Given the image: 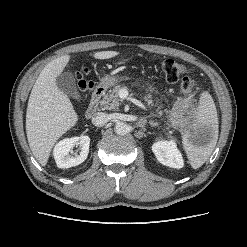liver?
I'll use <instances>...</instances> for the list:
<instances>
[{"label":"liver","instance_id":"6515ba94","mask_svg":"<svg viewBox=\"0 0 247 247\" xmlns=\"http://www.w3.org/2000/svg\"><path fill=\"white\" fill-rule=\"evenodd\" d=\"M117 51L95 52L96 59L117 56ZM70 61L63 55L49 62L40 72L29 97L26 133L36 160L45 166L56 141L78 121V115L67 95L56 85V78Z\"/></svg>","mask_w":247,"mask_h":247}]
</instances>
